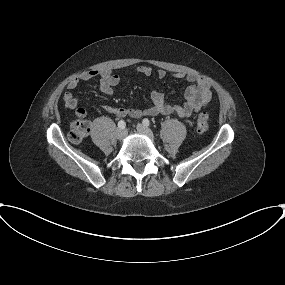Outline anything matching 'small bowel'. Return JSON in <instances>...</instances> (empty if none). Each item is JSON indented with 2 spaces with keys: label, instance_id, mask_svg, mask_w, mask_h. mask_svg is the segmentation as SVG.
I'll return each instance as SVG.
<instances>
[{
  "label": "small bowel",
  "instance_id": "obj_1",
  "mask_svg": "<svg viewBox=\"0 0 285 285\" xmlns=\"http://www.w3.org/2000/svg\"><path fill=\"white\" fill-rule=\"evenodd\" d=\"M136 72L143 76H150L153 72L152 68L146 65L139 66ZM157 77L164 79L167 75L166 71L160 69L157 71ZM99 77V90L105 95H112L114 87L120 83V76L112 73L110 70H91L81 73L71 79L67 85L68 91L63 96L64 104L69 109H76L77 118H83L86 115L84 108H77L78 100L74 96L72 90L81 82L89 81ZM173 77L177 79H185L190 83L185 91V103L183 105L170 104L165 101L162 91L154 90L151 93V106L146 109H128L123 107L103 106L104 110L116 117L139 118L141 116L156 115H176L182 118H188L192 114L198 112L205 107L212 99L211 85L209 81L199 75L189 74L185 72H176Z\"/></svg>",
  "mask_w": 285,
  "mask_h": 285
}]
</instances>
